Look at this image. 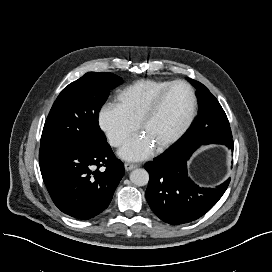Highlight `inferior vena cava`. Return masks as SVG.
I'll use <instances>...</instances> for the list:
<instances>
[{
	"mask_svg": "<svg viewBox=\"0 0 272 272\" xmlns=\"http://www.w3.org/2000/svg\"><path fill=\"white\" fill-rule=\"evenodd\" d=\"M119 140H116L115 142H114V145H118L119 144Z\"/></svg>",
	"mask_w": 272,
	"mask_h": 272,
	"instance_id": "obj_1",
	"label": "inferior vena cava"
}]
</instances>
